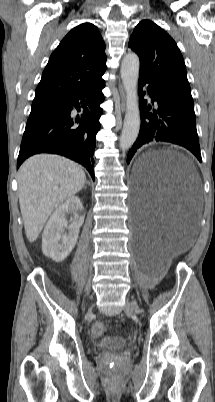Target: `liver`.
I'll return each mask as SVG.
<instances>
[{
    "label": "liver",
    "instance_id": "1",
    "mask_svg": "<svg viewBox=\"0 0 215 402\" xmlns=\"http://www.w3.org/2000/svg\"><path fill=\"white\" fill-rule=\"evenodd\" d=\"M85 181V172L77 163L58 155H34L21 165L19 204L30 242L38 238L53 210L79 192Z\"/></svg>",
    "mask_w": 215,
    "mask_h": 402
}]
</instances>
